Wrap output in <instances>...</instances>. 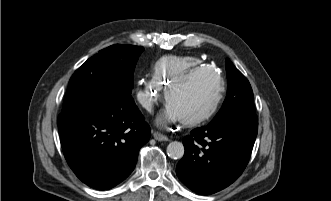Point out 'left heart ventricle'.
<instances>
[{
  "label": "left heart ventricle",
  "instance_id": "left-heart-ventricle-1",
  "mask_svg": "<svg viewBox=\"0 0 331 201\" xmlns=\"http://www.w3.org/2000/svg\"><path fill=\"white\" fill-rule=\"evenodd\" d=\"M218 91L216 76L210 72L200 73L186 87L174 93L170 105L181 118H190L204 111Z\"/></svg>",
  "mask_w": 331,
  "mask_h": 201
}]
</instances>
